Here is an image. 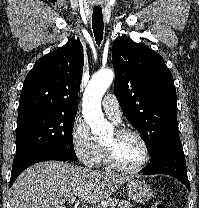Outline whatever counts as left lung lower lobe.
Instances as JSON below:
<instances>
[{
  "label": "left lung lower lobe",
  "mask_w": 199,
  "mask_h": 208,
  "mask_svg": "<svg viewBox=\"0 0 199 208\" xmlns=\"http://www.w3.org/2000/svg\"><path fill=\"white\" fill-rule=\"evenodd\" d=\"M142 172L146 175H171L190 190L185 157L179 137H175L163 144L155 156L151 158V163Z\"/></svg>",
  "instance_id": "0a47b994"
}]
</instances>
